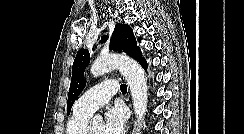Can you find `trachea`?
I'll list each match as a JSON object with an SVG mask.
<instances>
[{
  "label": "trachea",
  "instance_id": "trachea-1",
  "mask_svg": "<svg viewBox=\"0 0 244 134\" xmlns=\"http://www.w3.org/2000/svg\"><path fill=\"white\" fill-rule=\"evenodd\" d=\"M120 90H121V92L122 93H126L127 92V85L126 84H122L121 86H120Z\"/></svg>",
  "mask_w": 244,
  "mask_h": 134
}]
</instances>
